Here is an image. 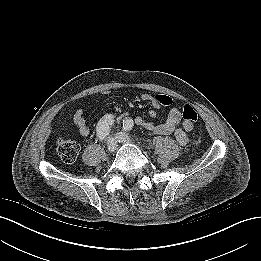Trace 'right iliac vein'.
<instances>
[{"instance_id": "1", "label": "right iliac vein", "mask_w": 261, "mask_h": 261, "mask_svg": "<svg viewBox=\"0 0 261 261\" xmlns=\"http://www.w3.org/2000/svg\"><path fill=\"white\" fill-rule=\"evenodd\" d=\"M117 149V142L114 138L109 137L108 141H107V150L110 153L115 152V150Z\"/></svg>"}]
</instances>
